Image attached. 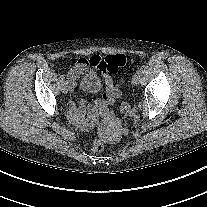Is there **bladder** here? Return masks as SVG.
I'll list each match as a JSON object with an SVG mask.
<instances>
[{
  "label": "bladder",
  "instance_id": "obj_1",
  "mask_svg": "<svg viewBox=\"0 0 207 207\" xmlns=\"http://www.w3.org/2000/svg\"><path fill=\"white\" fill-rule=\"evenodd\" d=\"M101 85V80L99 74L94 71L90 70L85 73L80 81V88L89 93H95Z\"/></svg>",
  "mask_w": 207,
  "mask_h": 207
}]
</instances>
